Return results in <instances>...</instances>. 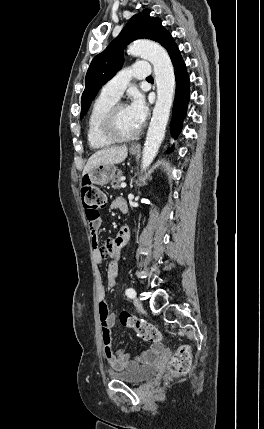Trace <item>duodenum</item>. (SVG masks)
I'll use <instances>...</instances> for the list:
<instances>
[{
	"mask_svg": "<svg viewBox=\"0 0 264 429\" xmlns=\"http://www.w3.org/2000/svg\"><path fill=\"white\" fill-rule=\"evenodd\" d=\"M119 210H120L122 213H126V212L128 211V206H127L126 202H123V203L120 205Z\"/></svg>",
	"mask_w": 264,
	"mask_h": 429,
	"instance_id": "1",
	"label": "duodenum"
}]
</instances>
